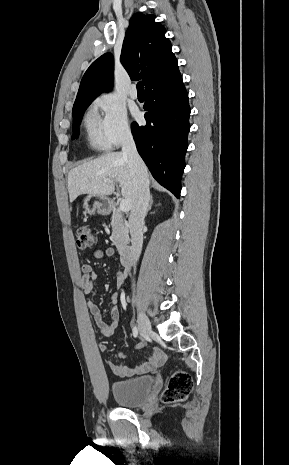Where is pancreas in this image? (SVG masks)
I'll return each mask as SVG.
<instances>
[{"instance_id": "cf45deb5", "label": "pancreas", "mask_w": 289, "mask_h": 465, "mask_svg": "<svg viewBox=\"0 0 289 465\" xmlns=\"http://www.w3.org/2000/svg\"><path fill=\"white\" fill-rule=\"evenodd\" d=\"M112 226V243L116 246L119 252H123L129 243L128 224L118 210H114L111 217Z\"/></svg>"}]
</instances>
